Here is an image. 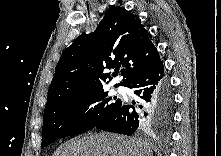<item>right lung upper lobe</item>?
I'll use <instances>...</instances> for the list:
<instances>
[{"mask_svg":"<svg viewBox=\"0 0 221 156\" xmlns=\"http://www.w3.org/2000/svg\"><path fill=\"white\" fill-rule=\"evenodd\" d=\"M151 38L138 16L121 7L110 10L93 33L81 34L63 51L45 108L73 92L103 89L112 80L105 69H121L123 80L115 87L151 69L161 61Z\"/></svg>","mask_w":221,"mask_h":156,"instance_id":"cb5924a9","label":"right lung upper lobe"}]
</instances>
